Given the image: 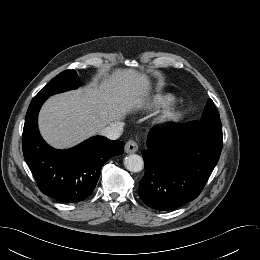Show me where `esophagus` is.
Returning a JSON list of instances; mask_svg holds the SVG:
<instances>
[{
	"label": "esophagus",
	"instance_id": "obj_1",
	"mask_svg": "<svg viewBox=\"0 0 260 260\" xmlns=\"http://www.w3.org/2000/svg\"><path fill=\"white\" fill-rule=\"evenodd\" d=\"M138 151V145L135 141L133 140H129L126 144H125V152L126 153H135Z\"/></svg>",
	"mask_w": 260,
	"mask_h": 260
}]
</instances>
